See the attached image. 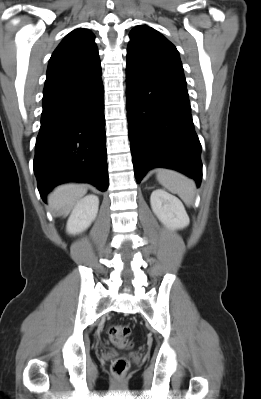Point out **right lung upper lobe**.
Masks as SVG:
<instances>
[{
	"mask_svg": "<svg viewBox=\"0 0 261 399\" xmlns=\"http://www.w3.org/2000/svg\"><path fill=\"white\" fill-rule=\"evenodd\" d=\"M94 34L83 28L69 33L53 52L43 94L56 92L101 74Z\"/></svg>",
	"mask_w": 261,
	"mask_h": 399,
	"instance_id": "obj_1",
	"label": "right lung upper lobe"
}]
</instances>
